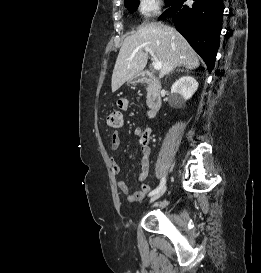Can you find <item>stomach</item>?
<instances>
[{"instance_id":"obj_1","label":"stomach","mask_w":261,"mask_h":273,"mask_svg":"<svg viewBox=\"0 0 261 273\" xmlns=\"http://www.w3.org/2000/svg\"><path fill=\"white\" fill-rule=\"evenodd\" d=\"M131 83H136V82H140L141 81V79L139 78V77H136V78H134V79H132V80H129Z\"/></svg>"}]
</instances>
